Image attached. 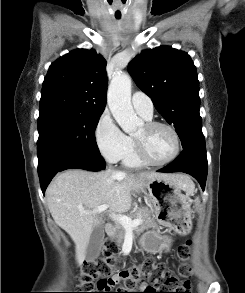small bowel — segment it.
<instances>
[{"mask_svg": "<svg viewBox=\"0 0 245 293\" xmlns=\"http://www.w3.org/2000/svg\"><path fill=\"white\" fill-rule=\"evenodd\" d=\"M164 240H165V242H167L168 238H167V237H165V238H164Z\"/></svg>", "mask_w": 245, "mask_h": 293, "instance_id": "small-bowel-1", "label": "small bowel"}]
</instances>
